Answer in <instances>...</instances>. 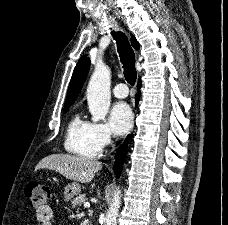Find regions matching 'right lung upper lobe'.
Instances as JSON below:
<instances>
[{"instance_id":"1","label":"right lung upper lobe","mask_w":228,"mask_h":225,"mask_svg":"<svg viewBox=\"0 0 228 225\" xmlns=\"http://www.w3.org/2000/svg\"><path fill=\"white\" fill-rule=\"evenodd\" d=\"M130 40H131L132 46L138 50L139 43L137 42L136 38L132 35ZM89 68H90V60L86 55H84L79 59L74 69V72L69 84L64 107L68 105H72L76 100L78 93L81 90L82 85L86 79Z\"/></svg>"}]
</instances>
